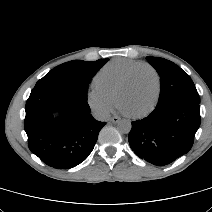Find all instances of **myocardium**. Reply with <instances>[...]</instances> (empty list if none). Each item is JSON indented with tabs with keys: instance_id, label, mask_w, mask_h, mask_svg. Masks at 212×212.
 <instances>
[{
	"instance_id": "f54148a6",
	"label": "myocardium",
	"mask_w": 212,
	"mask_h": 212,
	"mask_svg": "<svg viewBox=\"0 0 212 212\" xmlns=\"http://www.w3.org/2000/svg\"><path fill=\"white\" fill-rule=\"evenodd\" d=\"M141 69H148L154 74L155 79H156V93H155L153 102L146 110H144L140 113H136V114H128L130 117L135 118V119L143 118V117L149 115L155 109V107L159 101L160 94H161V88H162L161 76H160L159 72L152 65L147 64V63H142V64L136 66L135 68H133L129 72L126 79L120 86L118 93H117L118 105H120L121 97L124 94V92L128 89V87L130 86L135 74Z\"/></svg>"
}]
</instances>
